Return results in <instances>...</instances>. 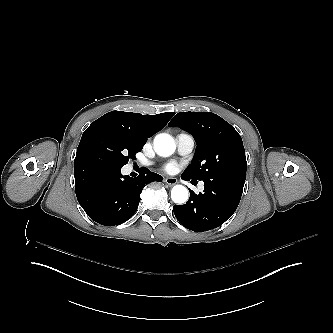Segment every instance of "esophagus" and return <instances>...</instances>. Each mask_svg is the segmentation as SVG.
Segmentation results:
<instances>
[{
    "label": "esophagus",
    "mask_w": 333,
    "mask_h": 333,
    "mask_svg": "<svg viewBox=\"0 0 333 333\" xmlns=\"http://www.w3.org/2000/svg\"><path fill=\"white\" fill-rule=\"evenodd\" d=\"M164 182L170 186H173L177 183V178L175 177H168V178H165Z\"/></svg>",
    "instance_id": "34e87169"
}]
</instances>
